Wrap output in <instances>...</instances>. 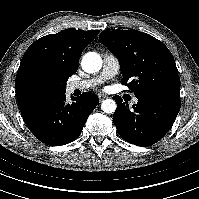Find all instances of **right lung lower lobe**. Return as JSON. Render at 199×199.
<instances>
[{
  "label": "right lung lower lobe",
  "mask_w": 199,
  "mask_h": 199,
  "mask_svg": "<svg viewBox=\"0 0 199 199\" xmlns=\"http://www.w3.org/2000/svg\"><path fill=\"white\" fill-rule=\"evenodd\" d=\"M66 102L65 92L19 105L29 130L43 143L60 146L77 139L98 105L96 94L85 92Z\"/></svg>",
  "instance_id": "1"
}]
</instances>
